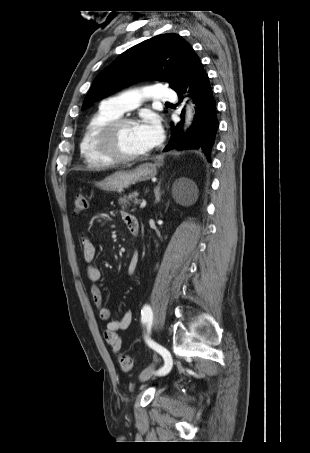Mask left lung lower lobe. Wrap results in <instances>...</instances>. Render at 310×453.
I'll use <instances>...</instances> for the list:
<instances>
[{
  "label": "left lung lower lobe",
  "instance_id": "obj_1",
  "mask_svg": "<svg viewBox=\"0 0 310 453\" xmlns=\"http://www.w3.org/2000/svg\"><path fill=\"white\" fill-rule=\"evenodd\" d=\"M189 89L194 103L196 104V115L192 126L183 134V120L177 124L173 131V139L166 146L164 151L173 148L177 150L201 149L210 159V150L214 144L215 134L219 123L216 116V104L213 99L212 88L209 83L208 75L203 69L202 63L193 52L179 83L174 87L180 101L182 94ZM184 111L181 114L183 118ZM179 130V132H178Z\"/></svg>",
  "mask_w": 310,
  "mask_h": 453
}]
</instances>
